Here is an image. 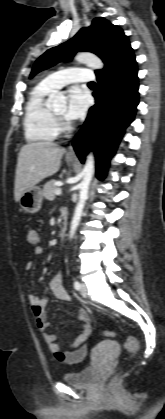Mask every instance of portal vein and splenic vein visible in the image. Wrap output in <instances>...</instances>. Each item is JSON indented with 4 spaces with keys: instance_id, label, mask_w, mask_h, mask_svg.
I'll return each instance as SVG.
<instances>
[{
    "instance_id": "1",
    "label": "portal vein and splenic vein",
    "mask_w": 165,
    "mask_h": 419,
    "mask_svg": "<svg viewBox=\"0 0 165 419\" xmlns=\"http://www.w3.org/2000/svg\"><path fill=\"white\" fill-rule=\"evenodd\" d=\"M55 194H56V195H60V194H61V189H60V188H57V189L55 190Z\"/></svg>"
}]
</instances>
